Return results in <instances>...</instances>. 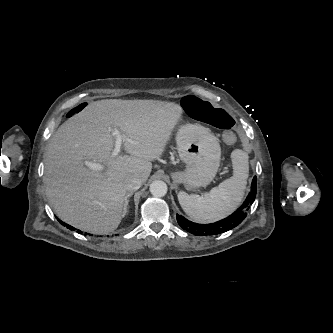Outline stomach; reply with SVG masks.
<instances>
[{
	"instance_id": "1",
	"label": "stomach",
	"mask_w": 333,
	"mask_h": 333,
	"mask_svg": "<svg viewBox=\"0 0 333 333\" xmlns=\"http://www.w3.org/2000/svg\"><path fill=\"white\" fill-rule=\"evenodd\" d=\"M176 142L179 156L187 166L184 171L171 174L173 181L188 190L210 184L221 161L218 138L208 128L187 123L179 127Z\"/></svg>"
}]
</instances>
